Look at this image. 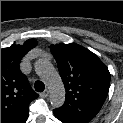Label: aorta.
<instances>
[{
	"instance_id": "aorta-1",
	"label": "aorta",
	"mask_w": 123,
	"mask_h": 123,
	"mask_svg": "<svg viewBox=\"0 0 123 123\" xmlns=\"http://www.w3.org/2000/svg\"><path fill=\"white\" fill-rule=\"evenodd\" d=\"M35 71L49 89L51 105L61 107L65 102V88L54 66L46 59H39L35 63Z\"/></svg>"
}]
</instances>
